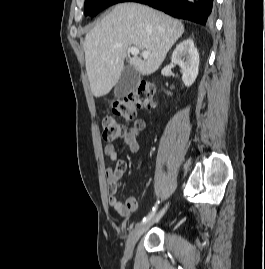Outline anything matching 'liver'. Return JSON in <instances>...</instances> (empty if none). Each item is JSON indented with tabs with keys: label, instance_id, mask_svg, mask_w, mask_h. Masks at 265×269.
I'll return each instance as SVG.
<instances>
[{
	"label": "liver",
	"instance_id": "6515ba94",
	"mask_svg": "<svg viewBox=\"0 0 265 269\" xmlns=\"http://www.w3.org/2000/svg\"><path fill=\"white\" fill-rule=\"evenodd\" d=\"M184 33L182 22L136 3H121L106 15L84 41L92 94L102 97L117 84L126 60L142 75L154 73ZM148 51L147 58H128V48Z\"/></svg>",
	"mask_w": 265,
	"mask_h": 269
}]
</instances>
